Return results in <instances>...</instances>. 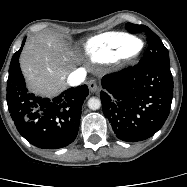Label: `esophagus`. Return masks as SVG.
I'll return each instance as SVG.
<instances>
[{
	"label": "esophagus",
	"instance_id": "obj_1",
	"mask_svg": "<svg viewBox=\"0 0 187 187\" xmlns=\"http://www.w3.org/2000/svg\"><path fill=\"white\" fill-rule=\"evenodd\" d=\"M88 87H89V90L92 92V93H95L99 90V86L98 84L96 83L95 80H90L88 82Z\"/></svg>",
	"mask_w": 187,
	"mask_h": 187
}]
</instances>
